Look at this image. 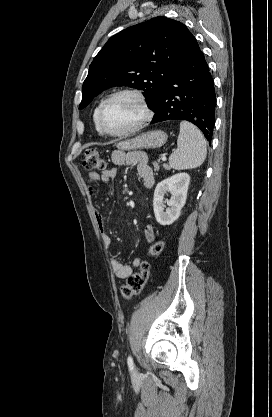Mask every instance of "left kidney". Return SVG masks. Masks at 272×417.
Here are the masks:
<instances>
[{
    "instance_id": "left-kidney-1",
    "label": "left kidney",
    "mask_w": 272,
    "mask_h": 417,
    "mask_svg": "<svg viewBox=\"0 0 272 417\" xmlns=\"http://www.w3.org/2000/svg\"><path fill=\"white\" fill-rule=\"evenodd\" d=\"M189 182V174L182 172L157 184L154 191L153 210L160 225H170L179 218L186 202ZM167 192L171 194V199L168 202L170 207L164 211V195Z\"/></svg>"
}]
</instances>
